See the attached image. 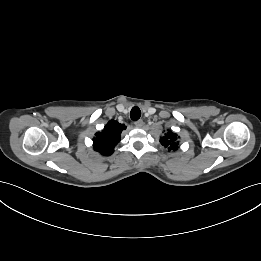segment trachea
Listing matches in <instances>:
<instances>
[{"label":"trachea","instance_id":"1","mask_svg":"<svg viewBox=\"0 0 261 261\" xmlns=\"http://www.w3.org/2000/svg\"><path fill=\"white\" fill-rule=\"evenodd\" d=\"M130 117L133 121H137L141 117V111L138 107H133L130 112Z\"/></svg>","mask_w":261,"mask_h":261}]
</instances>
